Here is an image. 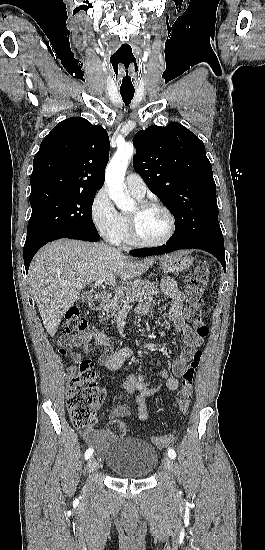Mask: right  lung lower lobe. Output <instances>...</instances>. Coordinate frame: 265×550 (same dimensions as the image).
I'll return each instance as SVG.
<instances>
[{
    "label": "right lung lower lobe",
    "mask_w": 265,
    "mask_h": 550,
    "mask_svg": "<svg viewBox=\"0 0 265 550\" xmlns=\"http://www.w3.org/2000/svg\"><path fill=\"white\" fill-rule=\"evenodd\" d=\"M60 238L79 239V240H84V241L95 242V241H98L100 239V236L98 234H90V233L78 232V231L60 232V233L54 235L53 237H51L50 239L42 241V242L36 244L35 246L31 247L28 250H24V264H25L26 273L28 272L30 262H31L33 256L35 255V253L43 245H45L48 242H51L53 240L60 239Z\"/></svg>",
    "instance_id": "right-lung-lower-lobe-1"
}]
</instances>
